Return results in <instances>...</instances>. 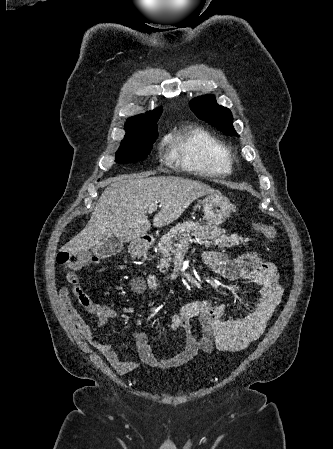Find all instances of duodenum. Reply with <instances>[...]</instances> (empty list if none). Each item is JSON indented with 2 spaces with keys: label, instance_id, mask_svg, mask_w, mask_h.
<instances>
[{
  "label": "duodenum",
  "instance_id": "1",
  "mask_svg": "<svg viewBox=\"0 0 333 449\" xmlns=\"http://www.w3.org/2000/svg\"><path fill=\"white\" fill-rule=\"evenodd\" d=\"M154 238L152 236L143 237L132 245V254L136 257L145 255L152 247ZM149 286L153 289L160 287V282L155 276H151L149 280Z\"/></svg>",
  "mask_w": 333,
  "mask_h": 449
}]
</instances>
